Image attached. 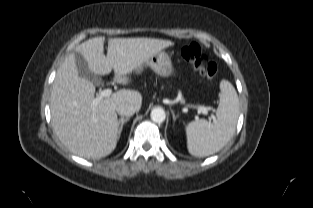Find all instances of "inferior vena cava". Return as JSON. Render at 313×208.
<instances>
[{
  "label": "inferior vena cava",
  "instance_id": "602c4592",
  "mask_svg": "<svg viewBox=\"0 0 313 208\" xmlns=\"http://www.w3.org/2000/svg\"><path fill=\"white\" fill-rule=\"evenodd\" d=\"M116 111L121 116L130 117L137 111V108L130 103H121L117 105Z\"/></svg>",
  "mask_w": 313,
  "mask_h": 208
}]
</instances>
